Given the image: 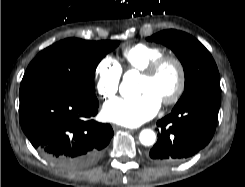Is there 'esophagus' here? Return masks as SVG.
<instances>
[{"instance_id":"obj_1","label":"esophagus","mask_w":245,"mask_h":187,"mask_svg":"<svg viewBox=\"0 0 245 187\" xmlns=\"http://www.w3.org/2000/svg\"><path fill=\"white\" fill-rule=\"evenodd\" d=\"M114 130H120V129H125L124 127H121L119 125H113Z\"/></svg>"}]
</instances>
